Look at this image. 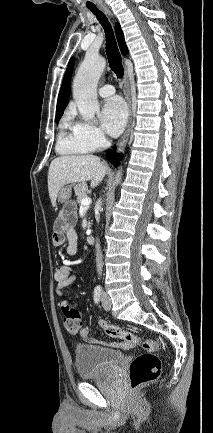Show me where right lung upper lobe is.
I'll use <instances>...</instances> for the list:
<instances>
[{
    "label": "right lung upper lobe",
    "mask_w": 213,
    "mask_h": 433,
    "mask_svg": "<svg viewBox=\"0 0 213 433\" xmlns=\"http://www.w3.org/2000/svg\"><path fill=\"white\" fill-rule=\"evenodd\" d=\"M115 31H116V37L119 43L120 50L122 54L125 55L128 53V48L126 46L124 35L119 23H116ZM73 66H74V58H71L67 66V70L57 100L56 120H59L61 118L68 104V100L70 96V80H71Z\"/></svg>",
    "instance_id": "1"
}]
</instances>
